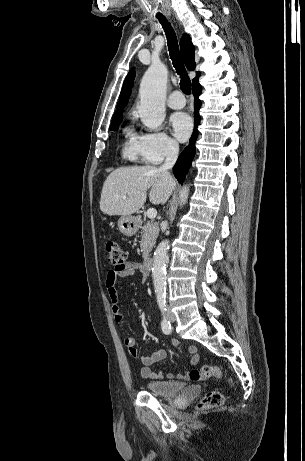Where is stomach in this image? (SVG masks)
Listing matches in <instances>:
<instances>
[{"mask_svg": "<svg viewBox=\"0 0 305 461\" xmlns=\"http://www.w3.org/2000/svg\"><path fill=\"white\" fill-rule=\"evenodd\" d=\"M118 229L125 236H133L138 230L137 219L133 216H121L118 220Z\"/></svg>", "mask_w": 305, "mask_h": 461, "instance_id": "0dacf381", "label": "stomach"}]
</instances>
